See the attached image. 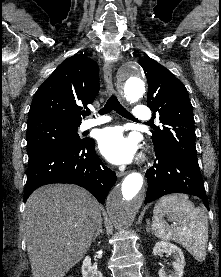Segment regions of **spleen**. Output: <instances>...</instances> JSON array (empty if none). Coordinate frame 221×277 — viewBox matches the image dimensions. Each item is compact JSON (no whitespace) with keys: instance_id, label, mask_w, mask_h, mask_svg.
Listing matches in <instances>:
<instances>
[{"instance_id":"3e777b00","label":"spleen","mask_w":221,"mask_h":277,"mask_svg":"<svg viewBox=\"0 0 221 277\" xmlns=\"http://www.w3.org/2000/svg\"><path fill=\"white\" fill-rule=\"evenodd\" d=\"M152 230L164 240H173L181 244L197 261L206 257L208 241V220L204 210L195 207L185 194H170L162 197L153 210ZM176 221L169 226L163 220L164 215Z\"/></svg>"}]
</instances>
